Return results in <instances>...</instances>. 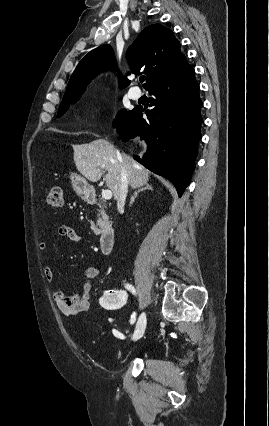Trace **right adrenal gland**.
<instances>
[{
    "label": "right adrenal gland",
    "mask_w": 269,
    "mask_h": 426,
    "mask_svg": "<svg viewBox=\"0 0 269 426\" xmlns=\"http://www.w3.org/2000/svg\"><path fill=\"white\" fill-rule=\"evenodd\" d=\"M145 190H153V187L149 184H145L142 188L138 189L137 191L134 192L133 196L130 199V205H132L135 201V199L137 198V196L139 195L140 192H143Z\"/></svg>",
    "instance_id": "2a0ac1e0"
}]
</instances>
